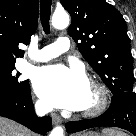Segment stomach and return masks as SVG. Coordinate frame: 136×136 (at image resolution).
Returning <instances> with one entry per match:
<instances>
[{"instance_id": "stomach-1", "label": "stomach", "mask_w": 136, "mask_h": 136, "mask_svg": "<svg viewBox=\"0 0 136 136\" xmlns=\"http://www.w3.org/2000/svg\"><path fill=\"white\" fill-rule=\"evenodd\" d=\"M82 136H101V135H99L98 133L89 132V133H86V134H84Z\"/></svg>"}]
</instances>
